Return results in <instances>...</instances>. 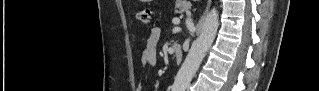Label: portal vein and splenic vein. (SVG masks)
Here are the masks:
<instances>
[{"label": "portal vein and splenic vein", "mask_w": 319, "mask_h": 91, "mask_svg": "<svg viewBox=\"0 0 319 91\" xmlns=\"http://www.w3.org/2000/svg\"><path fill=\"white\" fill-rule=\"evenodd\" d=\"M172 21H173L174 24H179L180 23V19H178V18H174Z\"/></svg>", "instance_id": "18ae733b"}]
</instances>
